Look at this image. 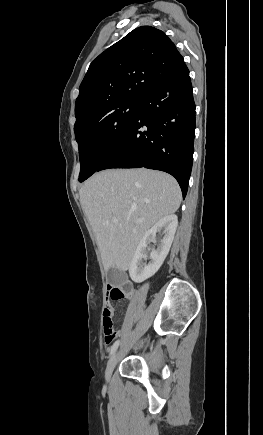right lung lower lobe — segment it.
Wrapping results in <instances>:
<instances>
[{
  "mask_svg": "<svg viewBox=\"0 0 263 435\" xmlns=\"http://www.w3.org/2000/svg\"><path fill=\"white\" fill-rule=\"evenodd\" d=\"M195 103L185 63L151 90L129 129L97 169L149 168L178 181L185 198L192 169Z\"/></svg>",
  "mask_w": 263,
  "mask_h": 435,
  "instance_id": "right-lung-lower-lobe-1",
  "label": "right lung lower lobe"
}]
</instances>
